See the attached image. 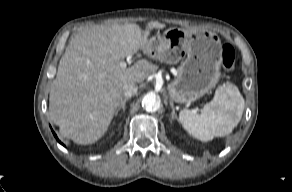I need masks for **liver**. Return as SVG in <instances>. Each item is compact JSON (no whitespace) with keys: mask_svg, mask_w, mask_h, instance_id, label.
<instances>
[{"mask_svg":"<svg viewBox=\"0 0 292 192\" xmlns=\"http://www.w3.org/2000/svg\"><path fill=\"white\" fill-rule=\"evenodd\" d=\"M165 24L97 25L77 33L60 59L51 84L49 116L63 137L92 144L107 131L124 94L126 83H141L158 67L145 59L122 69L121 60L149 51L150 31Z\"/></svg>","mask_w":292,"mask_h":192,"instance_id":"liver-1","label":"liver"}]
</instances>
